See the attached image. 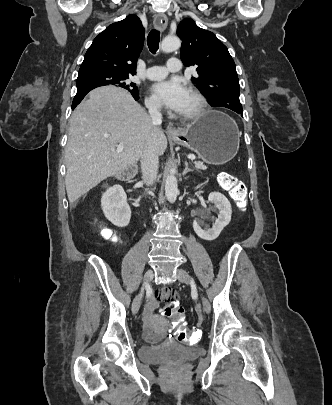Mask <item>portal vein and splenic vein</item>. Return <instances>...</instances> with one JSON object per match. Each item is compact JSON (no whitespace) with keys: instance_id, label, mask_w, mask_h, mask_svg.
<instances>
[{"instance_id":"1","label":"portal vein and splenic vein","mask_w":332,"mask_h":405,"mask_svg":"<svg viewBox=\"0 0 332 405\" xmlns=\"http://www.w3.org/2000/svg\"><path fill=\"white\" fill-rule=\"evenodd\" d=\"M123 149H124L123 144H119V145L117 146V148H116V152H117V153H120V152L123 151ZM188 159H190V160H195V156H194V155H188Z\"/></svg>"}]
</instances>
